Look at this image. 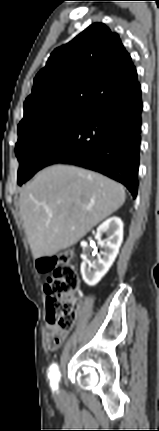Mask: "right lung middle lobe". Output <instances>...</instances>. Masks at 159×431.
Here are the masks:
<instances>
[{"mask_svg":"<svg viewBox=\"0 0 159 431\" xmlns=\"http://www.w3.org/2000/svg\"><path fill=\"white\" fill-rule=\"evenodd\" d=\"M87 116V113L82 112H59L18 129L19 139L15 147L20 163L18 184H23L39 171L53 146Z\"/></svg>","mask_w":159,"mask_h":431,"instance_id":"obj_1","label":"right lung middle lobe"}]
</instances>
